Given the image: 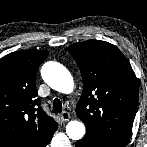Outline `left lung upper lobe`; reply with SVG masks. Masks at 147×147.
Listing matches in <instances>:
<instances>
[{"label": "left lung upper lobe", "mask_w": 147, "mask_h": 147, "mask_svg": "<svg viewBox=\"0 0 147 147\" xmlns=\"http://www.w3.org/2000/svg\"><path fill=\"white\" fill-rule=\"evenodd\" d=\"M82 75L83 93L76 107L88 141L99 147H125L137 110L135 73L121 51L99 40L68 47Z\"/></svg>", "instance_id": "left-lung-upper-lobe-1"}]
</instances>
